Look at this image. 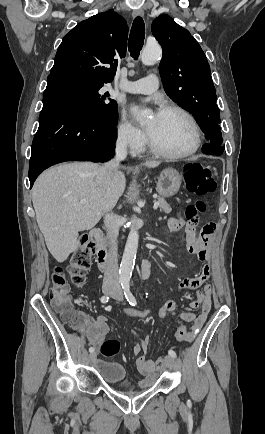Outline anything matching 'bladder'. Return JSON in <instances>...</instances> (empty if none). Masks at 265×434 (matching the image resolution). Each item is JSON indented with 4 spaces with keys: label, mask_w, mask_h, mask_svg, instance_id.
Listing matches in <instances>:
<instances>
[{
    "label": "bladder",
    "mask_w": 265,
    "mask_h": 434,
    "mask_svg": "<svg viewBox=\"0 0 265 434\" xmlns=\"http://www.w3.org/2000/svg\"><path fill=\"white\" fill-rule=\"evenodd\" d=\"M97 370L105 382L117 386L122 393L134 395L139 392L137 387L127 380L126 370L122 364L117 362H99Z\"/></svg>",
    "instance_id": "obj_1"
}]
</instances>
